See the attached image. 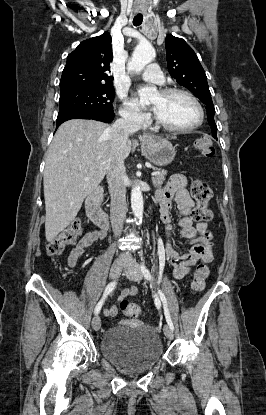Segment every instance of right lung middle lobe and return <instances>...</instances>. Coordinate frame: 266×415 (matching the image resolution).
<instances>
[{
	"mask_svg": "<svg viewBox=\"0 0 266 415\" xmlns=\"http://www.w3.org/2000/svg\"><path fill=\"white\" fill-rule=\"evenodd\" d=\"M113 86H93L61 92L59 104L62 110H88L113 113Z\"/></svg>",
	"mask_w": 266,
	"mask_h": 415,
	"instance_id": "obj_1",
	"label": "right lung middle lobe"
}]
</instances>
